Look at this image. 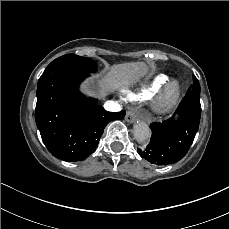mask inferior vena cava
<instances>
[{
  "label": "inferior vena cava",
  "mask_w": 229,
  "mask_h": 229,
  "mask_svg": "<svg viewBox=\"0 0 229 229\" xmlns=\"http://www.w3.org/2000/svg\"><path fill=\"white\" fill-rule=\"evenodd\" d=\"M104 108L107 111H112V112H116V111H120L121 110V106L114 102V101H106L104 104Z\"/></svg>",
  "instance_id": "1"
}]
</instances>
